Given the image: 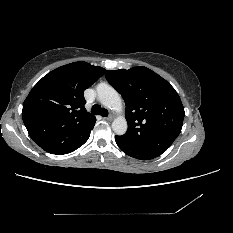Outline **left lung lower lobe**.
<instances>
[{"label":"left lung lower lobe","instance_id":"0a47b994","mask_svg":"<svg viewBox=\"0 0 233 233\" xmlns=\"http://www.w3.org/2000/svg\"><path fill=\"white\" fill-rule=\"evenodd\" d=\"M115 141L118 145V147L127 155L134 157L136 159L139 160H149V159H153L155 157H158L159 155L157 154H153V153H149V152H144L141 150H138L136 148H134L133 146H131L130 144H128L127 142H125L124 140L121 139L120 136H115Z\"/></svg>","mask_w":233,"mask_h":233}]
</instances>
